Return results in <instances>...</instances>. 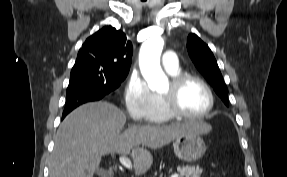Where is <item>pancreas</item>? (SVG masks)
<instances>
[{
    "instance_id": "pancreas-1",
    "label": "pancreas",
    "mask_w": 287,
    "mask_h": 177,
    "mask_svg": "<svg viewBox=\"0 0 287 177\" xmlns=\"http://www.w3.org/2000/svg\"><path fill=\"white\" fill-rule=\"evenodd\" d=\"M181 177H200L203 170L199 167L180 166L177 168Z\"/></svg>"
}]
</instances>
